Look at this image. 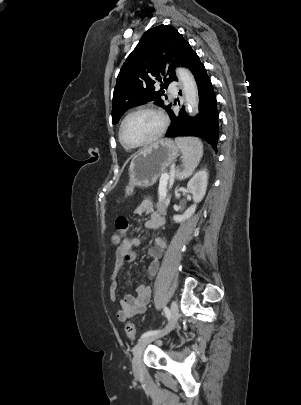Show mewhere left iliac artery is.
Segmentation results:
<instances>
[{"label": "left iliac artery", "mask_w": 301, "mask_h": 405, "mask_svg": "<svg viewBox=\"0 0 301 405\" xmlns=\"http://www.w3.org/2000/svg\"><path fill=\"white\" fill-rule=\"evenodd\" d=\"M164 313H165L167 319L169 320V318H170V316H171V312H170V310H169L167 307H164ZM159 331H160V330H150V331H147V332H145L144 334H142V336H141L140 339H143V338L148 337V336H150V335L156 334V333H158Z\"/></svg>", "instance_id": "44dca946"}]
</instances>
